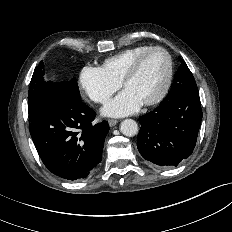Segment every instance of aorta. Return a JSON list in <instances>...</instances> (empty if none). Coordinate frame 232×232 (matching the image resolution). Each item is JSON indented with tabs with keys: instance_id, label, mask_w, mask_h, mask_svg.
<instances>
[{
	"instance_id": "762f6f07",
	"label": "aorta",
	"mask_w": 232,
	"mask_h": 232,
	"mask_svg": "<svg viewBox=\"0 0 232 232\" xmlns=\"http://www.w3.org/2000/svg\"><path fill=\"white\" fill-rule=\"evenodd\" d=\"M120 131L125 136H135L138 133V124L132 119H125L121 122Z\"/></svg>"
}]
</instances>
